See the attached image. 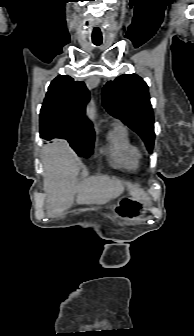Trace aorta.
I'll return each mask as SVG.
<instances>
[{
    "label": "aorta",
    "mask_w": 194,
    "mask_h": 336,
    "mask_svg": "<svg viewBox=\"0 0 194 336\" xmlns=\"http://www.w3.org/2000/svg\"><path fill=\"white\" fill-rule=\"evenodd\" d=\"M94 115H95L94 108H93L92 104L89 103L88 107H87V116H88L89 119L93 120Z\"/></svg>",
    "instance_id": "1"
}]
</instances>
